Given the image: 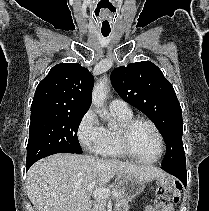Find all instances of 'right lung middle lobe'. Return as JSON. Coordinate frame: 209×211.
<instances>
[{"label":"right lung middle lobe","instance_id":"dd1d6c3e","mask_svg":"<svg viewBox=\"0 0 209 211\" xmlns=\"http://www.w3.org/2000/svg\"><path fill=\"white\" fill-rule=\"evenodd\" d=\"M84 114L31 116L26 165L56 153H82L77 130Z\"/></svg>","mask_w":209,"mask_h":211}]
</instances>
